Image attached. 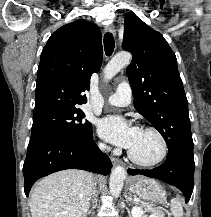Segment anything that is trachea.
<instances>
[{
	"label": "trachea",
	"mask_w": 211,
	"mask_h": 217,
	"mask_svg": "<svg viewBox=\"0 0 211 217\" xmlns=\"http://www.w3.org/2000/svg\"><path fill=\"white\" fill-rule=\"evenodd\" d=\"M115 47L114 37L112 33H105L104 35V48L107 56H111Z\"/></svg>",
	"instance_id": "3493384b"
}]
</instances>
